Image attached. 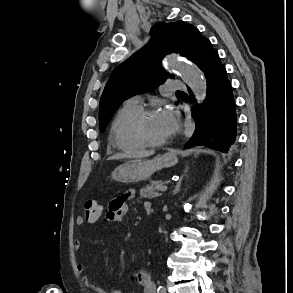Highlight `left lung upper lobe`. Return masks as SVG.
I'll return each mask as SVG.
<instances>
[{
	"label": "left lung upper lobe",
	"mask_w": 293,
	"mask_h": 293,
	"mask_svg": "<svg viewBox=\"0 0 293 293\" xmlns=\"http://www.w3.org/2000/svg\"><path fill=\"white\" fill-rule=\"evenodd\" d=\"M149 44L121 63L111 74L99 105V128L104 130L112 115L130 95L152 91L168 77L163 71L162 58L171 52L179 53L199 64L208 39L194 26L183 21L160 23L153 28Z\"/></svg>",
	"instance_id": "obj_1"
}]
</instances>
